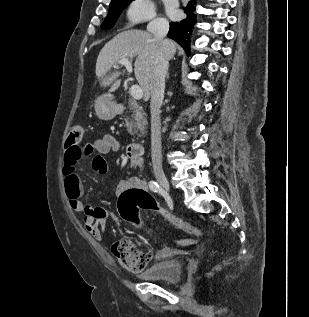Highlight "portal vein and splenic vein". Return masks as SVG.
<instances>
[{"instance_id": "18ae733b", "label": "portal vein and splenic vein", "mask_w": 309, "mask_h": 317, "mask_svg": "<svg viewBox=\"0 0 309 317\" xmlns=\"http://www.w3.org/2000/svg\"><path fill=\"white\" fill-rule=\"evenodd\" d=\"M118 64L120 65H123L126 67V69L129 71V72H132V65H131V62L128 60V59H121ZM117 66L114 65V68H116ZM130 92H131V96L134 98V99H141L143 97V91L142 89L140 88L139 85H132L131 86V89H130Z\"/></svg>"}]
</instances>
